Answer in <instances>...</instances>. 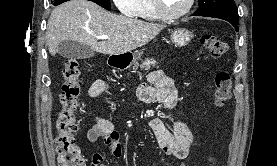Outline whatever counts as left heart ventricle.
Wrapping results in <instances>:
<instances>
[{"label": "left heart ventricle", "mask_w": 277, "mask_h": 166, "mask_svg": "<svg viewBox=\"0 0 277 166\" xmlns=\"http://www.w3.org/2000/svg\"><path fill=\"white\" fill-rule=\"evenodd\" d=\"M164 8L169 13H177L182 10L187 0H162Z\"/></svg>", "instance_id": "b2bd125f"}]
</instances>
